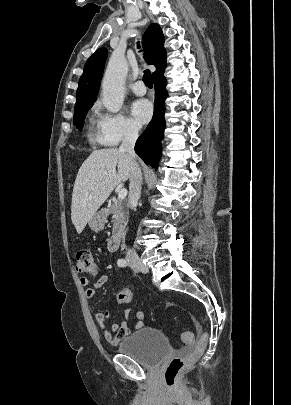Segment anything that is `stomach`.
Listing matches in <instances>:
<instances>
[{"label": "stomach", "mask_w": 291, "mask_h": 405, "mask_svg": "<svg viewBox=\"0 0 291 405\" xmlns=\"http://www.w3.org/2000/svg\"><path fill=\"white\" fill-rule=\"evenodd\" d=\"M107 219V211L100 210L96 212L88 222L89 227L91 230L95 232H99L104 228Z\"/></svg>", "instance_id": "1"}]
</instances>
